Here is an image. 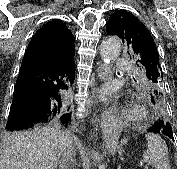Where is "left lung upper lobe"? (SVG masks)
<instances>
[{
  "label": "left lung upper lobe",
  "instance_id": "left-lung-upper-lobe-1",
  "mask_svg": "<svg viewBox=\"0 0 177 169\" xmlns=\"http://www.w3.org/2000/svg\"><path fill=\"white\" fill-rule=\"evenodd\" d=\"M110 35H117L128 49V54L140 63L145 84L153 93L160 97L163 72L159 62L156 44L148 29L132 14L126 11L114 12L106 24ZM139 66V65H138ZM161 98V97H160ZM161 109H164L163 100ZM166 123L169 122L166 120Z\"/></svg>",
  "mask_w": 177,
  "mask_h": 169
}]
</instances>
